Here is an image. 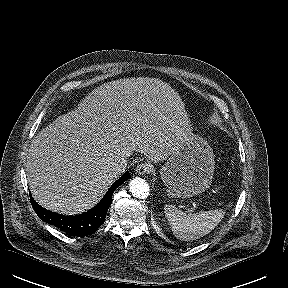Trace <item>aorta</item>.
<instances>
[{
	"instance_id": "aorta-1",
	"label": "aorta",
	"mask_w": 288,
	"mask_h": 288,
	"mask_svg": "<svg viewBox=\"0 0 288 288\" xmlns=\"http://www.w3.org/2000/svg\"><path fill=\"white\" fill-rule=\"evenodd\" d=\"M129 190L134 197L144 199L148 197L150 187L145 179L135 177L129 183Z\"/></svg>"
}]
</instances>
